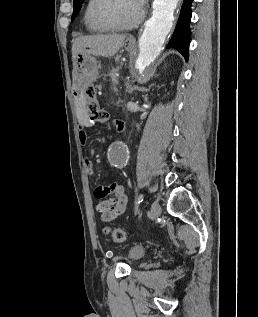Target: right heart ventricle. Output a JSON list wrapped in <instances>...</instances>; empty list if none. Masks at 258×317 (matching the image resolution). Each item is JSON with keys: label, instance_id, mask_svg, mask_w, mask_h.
I'll list each match as a JSON object with an SVG mask.
<instances>
[{"label": "right heart ventricle", "instance_id": "1", "mask_svg": "<svg viewBox=\"0 0 258 317\" xmlns=\"http://www.w3.org/2000/svg\"><path fill=\"white\" fill-rule=\"evenodd\" d=\"M99 0H87L84 7L83 21L86 29L90 33L101 34L106 33L109 29L98 24L93 17V10Z\"/></svg>", "mask_w": 258, "mask_h": 317}]
</instances>
